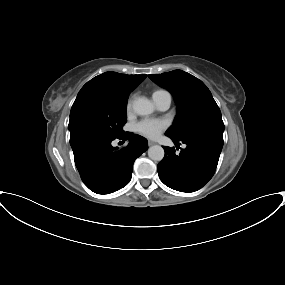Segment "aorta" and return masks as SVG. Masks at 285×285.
Masks as SVG:
<instances>
[{"mask_svg":"<svg viewBox=\"0 0 285 285\" xmlns=\"http://www.w3.org/2000/svg\"><path fill=\"white\" fill-rule=\"evenodd\" d=\"M133 110L138 115H149L153 113L154 106L150 100L142 97L133 102ZM148 156L154 161H161L164 158V149L160 145L151 146L148 149Z\"/></svg>","mask_w":285,"mask_h":285,"instance_id":"762f6f07","label":"aorta"}]
</instances>
